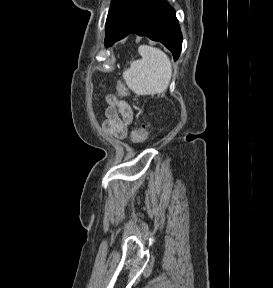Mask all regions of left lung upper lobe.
I'll use <instances>...</instances> for the list:
<instances>
[{"mask_svg": "<svg viewBox=\"0 0 273 288\" xmlns=\"http://www.w3.org/2000/svg\"><path fill=\"white\" fill-rule=\"evenodd\" d=\"M130 2L131 0H112L106 20L105 43L108 42L115 33L119 20Z\"/></svg>", "mask_w": 273, "mask_h": 288, "instance_id": "left-lung-upper-lobe-1", "label": "left lung upper lobe"}]
</instances>
